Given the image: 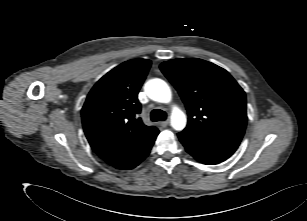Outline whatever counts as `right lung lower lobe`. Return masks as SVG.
Returning a JSON list of instances; mask_svg holds the SVG:
<instances>
[{
    "mask_svg": "<svg viewBox=\"0 0 307 221\" xmlns=\"http://www.w3.org/2000/svg\"><path fill=\"white\" fill-rule=\"evenodd\" d=\"M156 138V137H155ZM155 138L148 143L142 150H140L137 154L132 156L129 160H127L125 163L115 167L117 169H133L136 167L140 162H142L150 153V150L154 144Z\"/></svg>",
    "mask_w": 307,
    "mask_h": 221,
    "instance_id": "1",
    "label": "right lung lower lobe"
}]
</instances>
